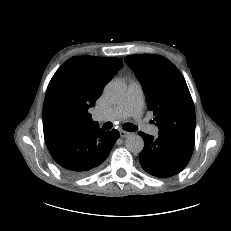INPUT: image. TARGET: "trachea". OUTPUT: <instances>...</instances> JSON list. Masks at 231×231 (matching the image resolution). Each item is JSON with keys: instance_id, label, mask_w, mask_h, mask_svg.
<instances>
[{"instance_id": "trachea-1", "label": "trachea", "mask_w": 231, "mask_h": 231, "mask_svg": "<svg viewBox=\"0 0 231 231\" xmlns=\"http://www.w3.org/2000/svg\"><path fill=\"white\" fill-rule=\"evenodd\" d=\"M112 123L111 122H106L105 124H103V129L105 130H110L112 128ZM122 128L126 131H135L138 129L137 126L130 124V123H126L122 126Z\"/></svg>"}]
</instances>
